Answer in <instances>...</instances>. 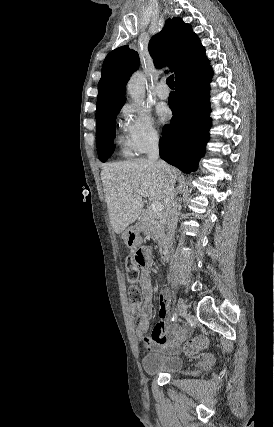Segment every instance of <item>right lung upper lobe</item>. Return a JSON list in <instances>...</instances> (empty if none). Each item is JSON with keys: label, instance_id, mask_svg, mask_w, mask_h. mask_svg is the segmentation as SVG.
<instances>
[{"label": "right lung upper lobe", "instance_id": "1", "mask_svg": "<svg viewBox=\"0 0 274 427\" xmlns=\"http://www.w3.org/2000/svg\"><path fill=\"white\" fill-rule=\"evenodd\" d=\"M149 52L158 68L169 66L175 80L208 59L200 39L191 25L179 17L166 20L162 31L149 42ZM139 56L129 47L121 46L111 51L104 60L102 77L98 84L96 113L126 99L125 85L139 67Z\"/></svg>", "mask_w": 274, "mask_h": 427}]
</instances>
